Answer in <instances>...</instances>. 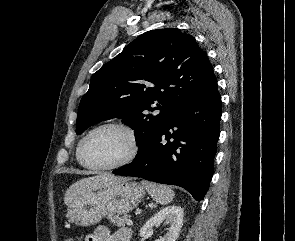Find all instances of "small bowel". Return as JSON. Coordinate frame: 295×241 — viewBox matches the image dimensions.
Segmentation results:
<instances>
[{"label":"small bowel","instance_id":"small-bowel-1","mask_svg":"<svg viewBox=\"0 0 295 241\" xmlns=\"http://www.w3.org/2000/svg\"><path fill=\"white\" fill-rule=\"evenodd\" d=\"M131 231L128 229H119L111 232L106 226H98L92 234H89L85 241H130Z\"/></svg>","mask_w":295,"mask_h":241}]
</instances>
